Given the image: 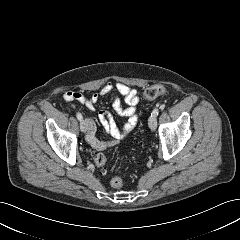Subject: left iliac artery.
<instances>
[{
    "label": "left iliac artery",
    "instance_id": "1",
    "mask_svg": "<svg viewBox=\"0 0 240 240\" xmlns=\"http://www.w3.org/2000/svg\"><path fill=\"white\" fill-rule=\"evenodd\" d=\"M158 114H159V110H158V108H155V109L153 110V112L151 113V117H152V116H153V117H157Z\"/></svg>",
    "mask_w": 240,
    "mask_h": 240
}]
</instances>
